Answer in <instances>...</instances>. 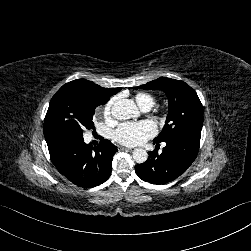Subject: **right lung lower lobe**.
<instances>
[{
  "mask_svg": "<svg viewBox=\"0 0 251 251\" xmlns=\"http://www.w3.org/2000/svg\"><path fill=\"white\" fill-rule=\"evenodd\" d=\"M45 139L52 163L72 183L89 188L110 177L112 159L118 150L109 140L102 138L93 149L83 137L64 132H52Z\"/></svg>",
  "mask_w": 251,
  "mask_h": 251,
  "instance_id": "obj_1",
  "label": "right lung lower lobe"
}]
</instances>
